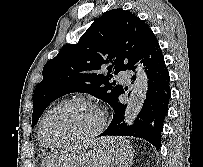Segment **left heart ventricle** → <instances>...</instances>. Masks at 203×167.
Instances as JSON below:
<instances>
[{"instance_id": "1", "label": "left heart ventricle", "mask_w": 203, "mask_h": 167, "mask_svg": "<svg viewBox=\"0 0 203 167\" xmlns=\"http://www.w3.org/2000/svg\"><path fill=\"white\" fill-rule=\"evenodd\" d=\"M98 122L97 114L90 107L67 104L48 116L44 124V135L51 142L76 139L94 130Z\"/></svg>"}]
</instances>
